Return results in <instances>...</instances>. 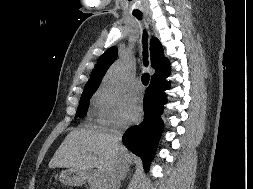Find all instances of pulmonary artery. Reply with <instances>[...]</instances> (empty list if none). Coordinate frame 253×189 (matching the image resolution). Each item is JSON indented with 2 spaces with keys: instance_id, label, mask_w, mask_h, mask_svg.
Wrapping results in <instances>:
<instances>
[{
  "instance_id": "e3ab8cb5",
  "label": "pulmonary artery",
  "mask_w": 253,
  "mask_h": 189,
  "mask_svg": "<svg viewBox=\"0 0 253 189\" xmlns=\"http://www.w3.org/2000/svg\"><path fill=\"white\" fill-rule=\"evenodd\" d=\"M133 88L136 90H140L141 89V83L138 80H135L132 84Z\"/></svg>"
}]
</instances>
